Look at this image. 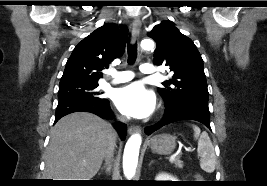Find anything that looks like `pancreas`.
Here are the masks:
<instances>
[{
    "mask_svg": "<svg viewBox=\"0 0 267 186\" xmlns=\"http://www.w3.org/2000/svg\"><path fill=\"white\" fill-rule=\"evenodd\" d=\"M172 163L175 165V167H178V168H180V169L183 168V162L180 160L179 157H176V158L172 161Z\"/></svg>",
    "mask_w": 267,
    "mask_h": 186,
    "instance_id": "1",
    "label": "pancreas"
}]
</instances>
